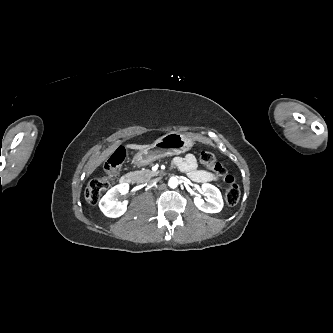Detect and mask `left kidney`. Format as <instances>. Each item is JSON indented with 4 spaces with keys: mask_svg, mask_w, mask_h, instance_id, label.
<instances>
[{
    "mask_svg": "<svg viewBox=\"0 0 333 333\" xmlns=\"http://www.w3.org/2000/svg\"><path fill=\"white\" fill-rule=\"evenodd\" d=\"M201 193L205 196L207 203L200 196H196L194 204L199 210L205 213H218L222 210L224 203L217 187L209 183L202 184Z\"/></svg>",
    "mask_w": 333,
    "mask_h": 333,
    "instance_id": "obj_1",
    "label": "left kidney"
}]
</instances>
